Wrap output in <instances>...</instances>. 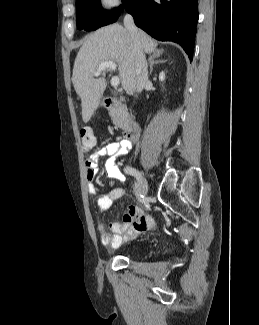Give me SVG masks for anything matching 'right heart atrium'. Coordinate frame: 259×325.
I'll list each match as a JSON object with an SVG mask.
<instances>
[{
  "mask_svg": "<svg viewBox=\"0 0 259 325\" xmlns=\"http://www.w3.org/2000/svg\"><path fill=\"white\" fill-rule=\"evenodd\" d=\"M99 5L105 10H114L121 5L122 0H98Z\"/></svg>",
  "mask_w": 259,
  "mask_h": 325,
  "instance_id": "right-heart-atrium-1",
  "label": "right heart atrium"
}]
</instances>
